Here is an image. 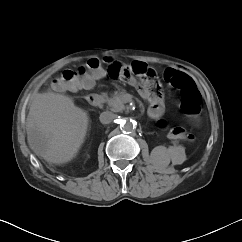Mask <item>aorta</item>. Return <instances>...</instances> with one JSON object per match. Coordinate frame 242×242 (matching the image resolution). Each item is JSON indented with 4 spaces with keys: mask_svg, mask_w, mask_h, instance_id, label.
Wrapping results in <instances>:
<instances>
[{
    "mask_svg": "<svg viewBox=\"0 0 242 242\" xmlns=\"http://www.w3.org/2000/svg\"><path fill=\"white\" fill-rule=\"evenodd\" d=\"M120 127L124 132H132L136 128V122L133 120H123Z\"/></svg>",
    "mask_w": 242,
    "mask_h": 242,
    "instance_id": "762f6f07",
    "label": "aorta"
}]
</instances>
